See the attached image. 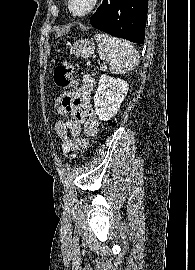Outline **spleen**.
Masks as SVG:
<instances>
[{
  "instance_id": "spleen-1",
  "label": "spleen",
  "mask_w": 195,
  "mask_h": 270,
  "mask_svg": "<svg viewBox=\"0 0 195 270\" xmlns=\"http://www.w3.org/2000/svg\"><path fill=\"white\" fill-rule=\"evenodd\" d=\"M94 38L100 59L109 64L111 73H126L138 66L139 53L131 43L102 33L96 34Z\"/></svg>"
}]
</instances>
